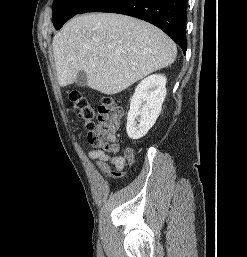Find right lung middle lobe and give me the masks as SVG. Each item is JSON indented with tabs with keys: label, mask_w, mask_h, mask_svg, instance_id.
<instances>
[{
	"label": "right lung middle lobe",
	"mask_w": 247,
	"mask_h": 257,
	"mask_svg": "<svg viewBox=\"0 0 247 257\" xmlns=\"http://www.w3.org/2000/svg\"><path fill=\"white\" fill-rule=\"evenodd\" d=\"M92 0H54L52 21L58 30Z\"/></svg>",
	"instance_id": "dd1d6c3e"
}]
</instances>
